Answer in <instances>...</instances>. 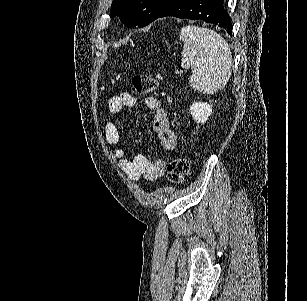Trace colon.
<instances>
[{
	"label": "colon",
	"mask_w": 307,
	"mask_h": 301,
	"mask_svg": "<svg viewBox=\"0 0 307 301\" xmlns=\"http://www.w3.org/2000/svg\"><path fill=\"white\" fill-rule=\"evenodd\" d=\"M135 91L139 94L153 92L157 88V79L149 74H138L132 79ZM190 170V162L187 156H179L172 159L167 166L168 179L176 184L182 183Z\"/></svg>",
	"instance_id": "obj_1"
}]
</instances>
